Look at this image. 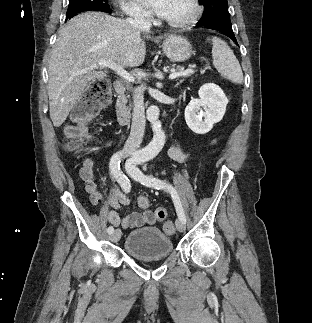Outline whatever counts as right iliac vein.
<instances>
[{
    "mask_svg": "<svg viewBox=\"0 0 312 323\" xmlns=\"http://www.w3.org/2000/svg\"><path fill=\"white\" fill-rule=\"evenodd\" d=\"M121 237V230L120 229H116L115 231H113L111 233V236H110V239L113 241V242H117Z\"/></svg>",
    "mask_w": 312,
    "mask_h": 323,
    "instance_id": "obj_1",
    "label": "right iliac vein"
}]
</instances>
